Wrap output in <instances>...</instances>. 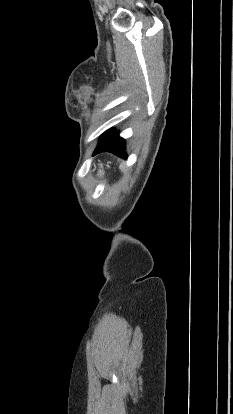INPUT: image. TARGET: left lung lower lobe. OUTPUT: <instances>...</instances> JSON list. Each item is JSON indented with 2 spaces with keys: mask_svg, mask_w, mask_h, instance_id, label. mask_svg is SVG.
<instances>
[{
  "mask_svg": "<svg viewBox=\"0 0 233 414\" xmlns=\"http://www.w3.org/2000/svg\"><path fill=\"white\" fill-rule=\"evenodd\" d=\"M104 151L112 152L120 157L127 158L125 153V141L123 138L119 137L117 132L109 131L102 135L94 154Z\"/></svg>",
  "mask_w": 233,
  "mask_h": 414,
  "instance_id": "1",
  "label": "left lung lower lobe"
}]
</instances>
